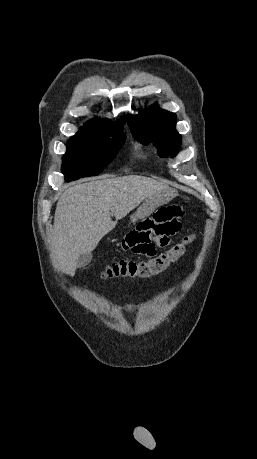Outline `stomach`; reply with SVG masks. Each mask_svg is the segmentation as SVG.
<instances>
[{
	"instance_id": "0dacf381",
	"label": "stomach",
	"mask_w": 257,
	"mask_h": 459,
	"mask_svg": "<svg viewBox=\"0 0 257 459\" xmlns=\"http://www.w3.org/2000/svg\"><path fill=\"white\" fill-rule=\"evenodd\" d=\"M177 192L172 188H166L148 198L143 200V203L136 210L135 214L131 216V220L135 222L138 219L148 217L152 214L158 205H163L172 200Z\"/></svg>"
}]
</instances>
